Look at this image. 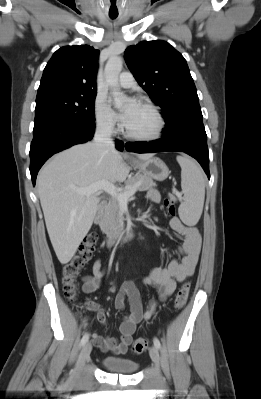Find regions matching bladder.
<instances>
[{
	"label": "bladder",
	"mask_w": 261,
	"mask_h": 399,
	"mask_svg": "<svg viewBox=\"0 0 261 399\" xmlns=\"http://www.w3.org/2000/svg\"><path fill=\"white\" fill-rule=\"evenodd\" d=\"M100 363L107 371L124 375L133 374L139 367V364L133 360L111 356L101 358Z\"/></svg>",
	"instance_id": "31cf9c89"
}]
</instances>
